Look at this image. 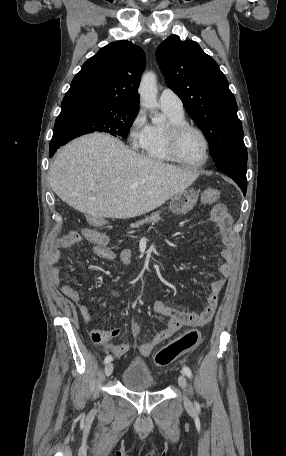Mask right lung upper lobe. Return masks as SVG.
I'll list each match as a JSON object with an SVG mask.
<instances>
[{"label": "right lung upper lobe", "instance_id": "cb5924a9", "mask_svg": "<svg viewBox=\"0 0 286 456\" xmlns=\"http://www.w3.org/2000/svg\"><path fill=\"white\" fill-rule=\"evenodd\" d=\"M144 67L140 47L126 40L111 43L83 64L64 98H92L139 108L137 87Z\"/></svg>", "mask_w": 286, "mask_h": 456}]
</instances>
